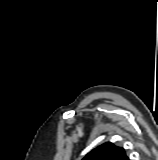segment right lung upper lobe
<instances>
[{"label": "right lung upper lobe", "instance_id": "cb5924a9", "mask_svg": "<svg viewBox=\"0 0 158 160\" xmlns=\"http://www.w3.org/2000/svg\"><path fill=\"white\" fill-rule=\"evenodd\" d=\"M82 160H129L125 150L107 142L89 152Z\"/></svg>", "mask_w": 158, "mask_h": 160}]
</instances>
